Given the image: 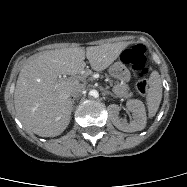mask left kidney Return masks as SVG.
<instances>
[{
  "instance_id": "left-kidney-1",
  "label": "left kidney",
  "mask_w": 187,
  "mask_h": 187,
  "mask_svg": "<svg viewBox=\"0 0 187 187\" xmlns=\"http://www.w3.org/2000/svg\"><path fill=\"white\" fill-rule=\"evenodd\" d=\"M126 108L128 111L132 112L133 120L130 123H127L126 119H120V106L115 104L108 106V112L114 126L124 132H135L144 129L146 126V112L144 104L140 100H128Z\"/></svg>"
}]
</instances>
